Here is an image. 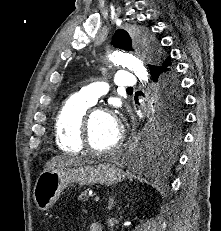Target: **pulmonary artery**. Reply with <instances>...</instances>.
Listing matches in <instances>:
<instances>
[{
  "label": "pulmonary artery",
  "instance_id": "obj_1",
  "mask_svg": "<svg viewBox=\"0 0 221 231\" xmlns=\"http://www.w3.org/2000/svg\"><path fill=\"white\" fill-rule=\"evenodd\" d=\"M136 84L137 81L130 72L119 71L114 76V85L118 88H133ZM107 90V83L96 82L83 87L75 96L92 105L106 94Z\"/></svg>",
  "mask_w": 221,
  "mask_h": 231
}]
</instances>
